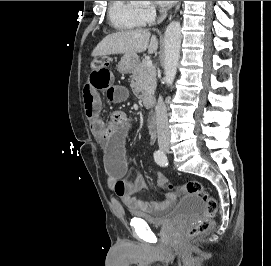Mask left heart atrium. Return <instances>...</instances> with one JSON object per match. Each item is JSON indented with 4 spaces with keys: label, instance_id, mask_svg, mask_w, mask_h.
I'll return each instance as SVG.
<instances>
[{
    "label": "left heart atrium",
    "instance_id": "1",
    "mask_svg": "<svg viewBox=\"0 0 271 266\" xmlns=\"http://www.w3.org/2000/svg\"><path fill=\"white\" fill-rule=\"evenodd\" d=\"M160 5L168 6L173 4L175 1H157Z\"/></svg>",
    "mask_w": 271,
    "mask_h": 266
}]
</instances>
